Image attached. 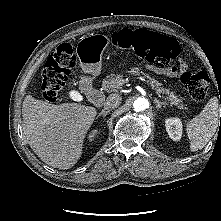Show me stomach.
Instances as JSON below:
<instances>
[{
    "instance_id": "stomach-1",
    "label": "stomach",
    "mask_w": 221,
    "mask_h": 221,
    "mask_svg": "<svg viewBox=\"0 0 221 221\" xmlns=\"http://www.w3.org/2000/svg\"><path fill=\"white\" fill-rule=\"evenodd\" d=\"M110 43L111 38L102 34H90L79 41V60L84 72L93 76L100 73L102 52Z\"/></svg>"
}]
</instances>
